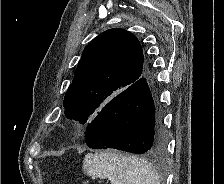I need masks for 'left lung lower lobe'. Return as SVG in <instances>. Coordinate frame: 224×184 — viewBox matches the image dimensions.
I'll list each match as a JSON object with an SVG mask.
<instances>
[{"label":"left lung lower lobe","instance_id":"0a47b994","mask_svg":"<svg viewBox=\"0 0 224 184\" xmlns=\"http://www.w3.org/2000/svg\"><path fill=\"white\" fill-rule=\"evenodd\" d=\"M85 141L92 149L115 148L135 154L164 151L166 138L145 78L141 77L103 106L89 124Z\"/></svg>","mask_w":224,"mask_h":184}]
</instances>
